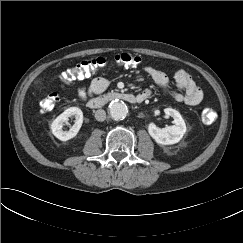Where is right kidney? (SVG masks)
<instances>
[{
    "instance_id": "1",
    "label": "right kidney",
    "mask_w": 243,
    "mask_h": 243,
    "mask_svg": "<svg viewBox=\"0 0 243 243\" xmlns=\"http://www.w3.org/2000/svg\"><path fill=\"white\" fill-rule=\"evenodd\" d=\"M74 116L75 123L69 131H63V123L67 122L68 118ZM83 123V112L78 107H70L61 113L51 124L53 135L61 141H67L74 138L79 132Z\"/></svg>"
}]
</instances>
